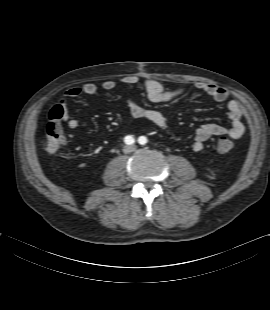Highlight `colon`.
<instances>
[{
	"instance_id": "5ec220e1",
	"label": "colon",
	"mask_w": 270,
	"mask_h": 310,
	"mask_svg": "<svg viewBox=\"0 0 270 310\" xmlns=\"http://www.w3.org/2000/svg\"><path fill=\"white\" fill-rule=\"evenodd\" d=\"M62 117L63 109L55 105L50 111L46 127L45 149L50 154L57 153L65 144ZM217 149L221 153L230 152L233 149V142L227 137H220L217 140Z\"/></svg>"
}]
</instances>
